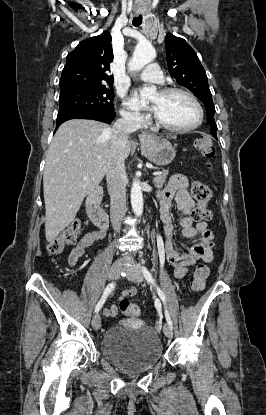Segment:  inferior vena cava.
I'll list each match as a JSON object with an SVG mask.
<instances>
[{"instance_id":"1","label":"inferior vena cava","mask_w":266,"mask_h":415,"mask_svg":"<svg viewBox=\"0 0 266 415\" xmlns=\"http://www.w3.org/2000/svg\"><path fill=\"white\" fill-rule=\"evenodd\" d=\"M140 127L139 120L130 114L118 119L112 129L111 155L106 169L108 192L111 198L110 218L115 232H120L121 221L127 211L125 188V148L128 135Z\"/></svg>"}]
</instances>
